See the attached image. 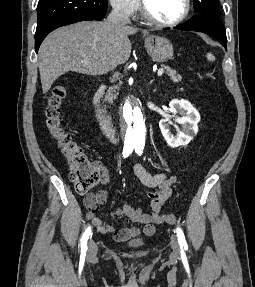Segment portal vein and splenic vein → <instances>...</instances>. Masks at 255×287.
Segmentation results:
<instances>
[{
	"mask_svg": "<svg viewBox=\"0 0 255 287\" xmlns=\"http://www.w3.org/2000/svg\"><path fill=\"white\" fill-rule=\"evenodd\" d=\"M88 62H89V60H86V62H84V64H88ZM163 72H164L163 68H160V70H158V72H157L158 76H162Z\"/></svg>",
	"mask_w": 255,
	"mask_h": 287,
	"instance_id": "18ae733b",
	"label": "portal vein and splenic vein"
}]
</instances>
